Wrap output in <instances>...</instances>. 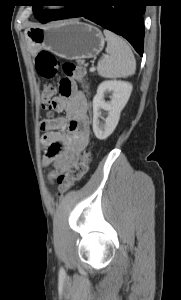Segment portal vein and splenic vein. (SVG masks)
I'll return each mask as SVG.
<instances>
[{
	"mask_svg": "<svg viewBox=\"0 0 181 300\" xmlns=\"http://www.w3.org/2000/svg\"><path fill=\"white\" fill-rule=\"evenodd\" d=\"M90 71H91V72H94V71H95V68H94V67L90 68Z\"/></svg>",
	"mask_w": 181,
	"mask_h": 300,
	"instance_id": "obj_1",
	"label": "portal vein and splenic vein"
}]
</instances>
